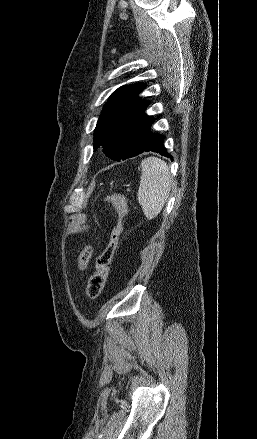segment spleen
Listing matches in <instances>:
<instances>
[{"instance_id": "1", "label": "spleen", "mask_w": 257, "mask_h": 439, "mask_svg": "<svg viewBox=\"0 0 257 439\" xmlns=\"http://www.w3.org/2000/svg\"><path fill=\"white\" fill-rule=\"evenodd\" d=\"M141 180L137 197L147 219L161 212L170 192L172 178L168 165L157 157L141 162Z\"/></svg>"}]
</instances>
